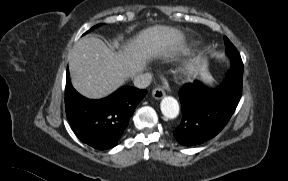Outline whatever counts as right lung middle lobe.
<instances>
[{"mask_svg": "<svg viewBox=\"0 0 288 181\" xmlns=\"http://www.w3.org/2000/svg\"><path fill=\"white\" fill-rule=\"evenodd\" d=\"M99 25L94 26L93 28H91L89 31L93 30L94 28L98 27ZM89 31H87L86 33H88Z\"/></svg>", "mask_w": 288, "mask_h": 181, "instance_id": "obj_1", "label": "right lung middle lobe"}]
</instances>
